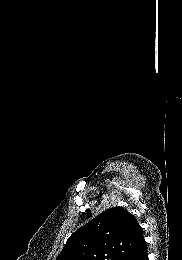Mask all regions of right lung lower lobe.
<instances>
[{
	"label": "right lung lower lobe",
	"instance_id": "right-lung-lower-lobe-1",
	"mask_svg": "<svg viewBox=\"0 0 182 260\" xmlns=\"http://www.w3.org/2000/svg\"><path fill=\"white\" fill-rule=\"evenodd\" d=\"M127 260H148L147 245H143L138 251L127 258Z\"/></svg>",
	"mask_w": 182,
	"mask_h": 260
}]
</instances>
